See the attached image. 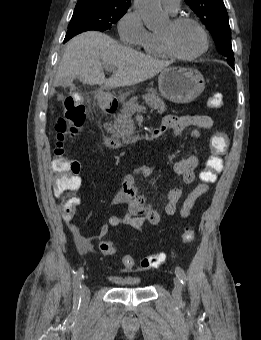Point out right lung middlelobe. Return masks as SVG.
Returning a JSON list of instances; mask_svg holds the SVG:
<instances>
[{"mask_svg": "<svg viewBox=\"0 0 261 340\" xmlns=\"http://www.w3.org/2000/svg\"><path fill=\"white\" fill-rule=\"evenodd\" d=\"M128 6L103 5L95 3L77 4L68 26L103 32L110 29L126 12Z\"/></svg>", "mask_w": 261, "mask_h": 340, "instance_id": "right-lung-middle-lobe-1", "label": "right lung middle lobe"}]
</instances>
